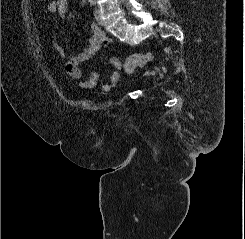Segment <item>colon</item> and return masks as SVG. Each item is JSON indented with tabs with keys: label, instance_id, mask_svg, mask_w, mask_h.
I'll return each instance as SVG.
<instances>
[{
	"label": "colon",
	"instance_id": "obj_1",
	"mask_svg": "<svg viewBox=\"0 0 245 239\" xmlns=\"http://www.w3.org/2000/svg\"><path fill=\"white\" fill-rule=\"evenodd\" d=\"M151 60V54H134L126 59L124 67L127 72H131L135 67L149 63Z\"/></svg>",
	"mask_w": 245,
	"mask_h": 239
}]
</instances>
